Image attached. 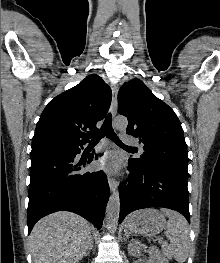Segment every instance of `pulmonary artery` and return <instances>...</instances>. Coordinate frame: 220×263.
Instances as JSON below:
<instances>
[{
  "label": "pulmonary artery",
  "mask_w": 220,
  "mask_h": 263,
  "mask_svg": "<svg viewBox=\"0 0 220 263\" xmlns=\"http://www.w3.org/2000/svg\"><path fill=\"white\" fill-rule=\"evenodd\" d=\"M123 141L128 145H137L136 139L129 135H124Z\"/></svg>",
  "instance_id": "obj_1"
}]
</instances>
